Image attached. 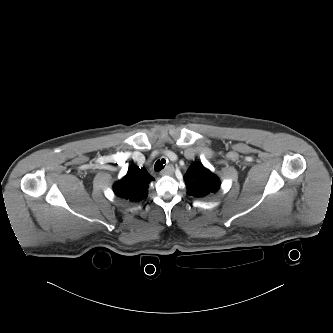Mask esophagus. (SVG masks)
Segmentation results:
<instances>
[{"mask_svg": "<svg viewBox=\"0 0 333 333\" xmlns=\"http://www.w3.org/2000/svg\"><path fill=\"white\" fill-rule=\"evenodd\" d=\"M174 174V166L173 165H168L166 166L161 172L160 176H172Z\"/></svg>", "mask_w": 333, "mask_h": 333, "instance_id": "34e87169", "label": "esophagus"}]
</instances>
